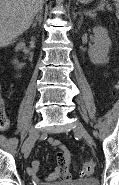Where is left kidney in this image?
Instances as JSON below:
<instances>
[{
	"label": "left kidney",
	"instance_id": "left-kidney-1",
	"mask_svg": "<svg viewBox=\"0 0 119 185\" xmlns=\"http://www.w3.org/2000/svg\"><path fill=\"white\" fill-rule=\"evenodd\" d=\"M93 33L94 45L88 50L90 61L96 65L106 64L109 61L108 53L111 46L108 31L98 26L93 28Z\"/></svg>",
	"mask_w": 119,
	"mask_h": 185
}]
</instances>
